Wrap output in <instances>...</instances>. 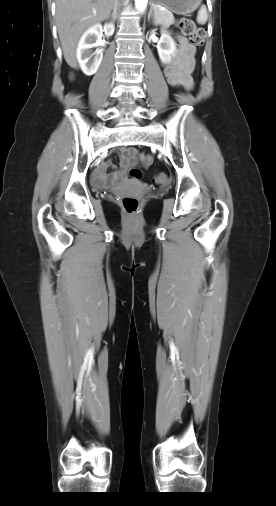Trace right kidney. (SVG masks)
<instances>
[{"instance_id":"1","label":"right kidney","mask_w":276,"mask_h":506,"mask_svg":"<svg viewBox=\"0 0 276 506\" xmlns=\"http://www.w3.org/2000/svg\"><path fill=\"white\" fill-rule=\"evenodd\" d=\"M111 36L114 33V25L112 23L95 24L90 27L81 37L77 48V59L84 74L90 76L97 72L103 58L102 50L97 49L92 53V48L98 46V41L103 36Z\"/></svg>"}]
</instances>
